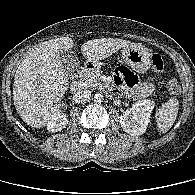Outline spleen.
Returning a JSON list of instances; mask_svg holds the SVG:
<instances>
[{
    "label": "spleen",
    "instance_id": "obj_1",
    "mask_svg": "<svg viewBox=\"0 0 195 195\" xmlns=\"http://www.w3.org/2000/svg\"><path fill=\"white\" fill-rule=\"evenodd\" d=\"M179 110V102L176 97H171L165 102L156 112L155 120L158 130L161 133H166L176 120Z\"/></svg>",
    "mask_w": 195,
    "mask_h": 195
}]
</instances>
